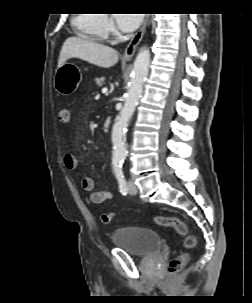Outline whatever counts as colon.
Returning <instances> with one entry per match:
<instances>
[{"label":"colon","instance_id":"colon-1","mask_svg":"<svg viewBox=\"0 0 252 303\" xmlns=\"http://www.w3.org/2000/svg\"><path fill=\"white\" fill-rule=\"evenodd\" d=\"M59 120L62 123H68L70 121V110L67 106H61L59 108ZM113 213L102 214L101 220L103 223H109L113 218ZM156 224L160 226L173 227L176 231L184 236V251L178 253L168 265L169 276L177 275L189 261V251L193 250L197 246V238L194 235L189 234L186 224L179 218L171 215H157L154 218Z\"/></svg>","mask_w":252,"mask_h":303}]
</instances>
